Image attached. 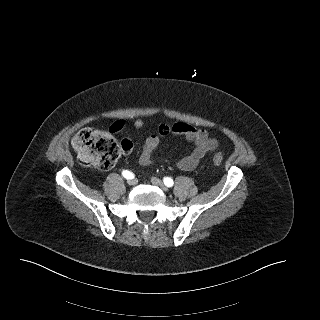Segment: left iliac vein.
<instances>
[{
	"instance_id": "1",
	"label": "left iliac vein",
	"mask_w": 320,
	"mask_h": 320,
	"mask_svg": "<svg viewBox=\"0 0 320 320\" xmlns=\"http://www.w3.org/2000/svg\"><path fill=\"white\" fill-rule=\"evenodd\" d=\"M151 182L153 185L159 187L161 190L167 192L168 188L164 185V183L157 177H152Z\"/></svg>"
}]
</instances>
